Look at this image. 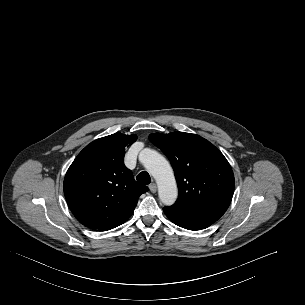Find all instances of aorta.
Wrapping results in <instances>:
<instances>
[{
    "label": "aorta",
    "instance_id": "aorta-1",
    "mask_svg": "<svg viewBox=\"0 0 305 305\" xmlns=\"http://www.w3.org/2000/svg\"><path fill=\"white\" fill-rule=\"evenodd\" d=\"M140 161L155 178L161 202L167 206L174 204L178 196V189L173 170L168 161L151 149H144L140 153Z\"/></svg>",
    "mask_w": 305,
    "mask_h": 305
}]
</instances>
